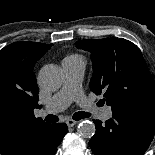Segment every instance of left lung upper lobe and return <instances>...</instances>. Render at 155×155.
<instances>
[{"instance_id":"obj_1","label":"left lung upper lobe","mask_w":155,"mask_h":155,"mask_svg":"<svg viewBox=\"0 0 155 155\" xmlns=\"http://www.w3.org/2000/svg\"><path fill=\"white\" fill-rule=\"evenodd\" d=\"M78 48L91 52L94 73L91 90L104 94L113 113L155 111V82L140 49L125 39L79 40Z\"/></svg>"}]
</instances>
